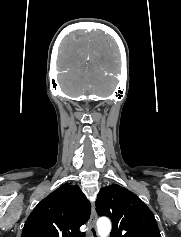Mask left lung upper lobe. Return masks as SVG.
I'll use <instances>...</instances> for the list:
<instances>
[{"mask_svg":"<svg viewBox=\"0 0 181 237\" xmlns=\"http://www.w3.org/2000/svg\"><path fill=\"white\" fill-rule=\"evenodd\" d=\"M96 211L112 220L110 237H161L152 211L137 195L120 185L100 190Z\"/></svg>","mask_w":181,"mask_h":237,"instance_id":"5c2ea615","label":"left lung upper lobe"}]
</instances>
